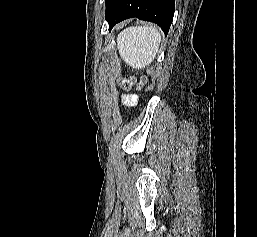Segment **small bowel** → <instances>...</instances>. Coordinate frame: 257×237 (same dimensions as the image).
Wrapping results in <instances>:
<instances>
[{
    "label": "small bowel",
    "mask_w": 257,
    "mask_h": 237,
    "mask_svg": "<svg viewBox=\"0 0 257 237\" xmlns=\"http://www.w3.org/2000/svg\"><path fill=\"white\" fill-rule=\"evenodd\" d=\"M123 102L128 106H134L137 102V98L135 96H125Z\"/></svg>",
    "instance_id": "c3829d8e"
}]
</instances>
